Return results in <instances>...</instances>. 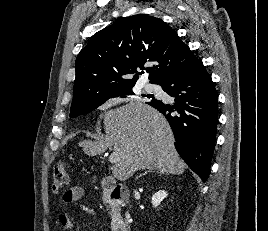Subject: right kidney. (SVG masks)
Listing matches in <instances>:
<instances>
[{
	"mask_svg": "<svg viewBox=\"0 0 268 231\" xmlns=\"http://www.w3.org/2000/svg\"><path fill=\"white\" fill-rule=\"evenodd\" d=\"M167 192L164 190H159L152 196V205L153 207H157L160 203L167 197Z\"/></svg>",
	"mask_w": 268,
	"mask_h": 231,
	"instance_id": "1",
	"label": "right kidney"
}]
</instances>
